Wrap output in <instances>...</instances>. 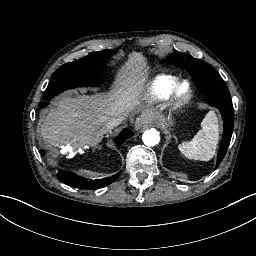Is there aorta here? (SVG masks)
I'll list each match as a JSON object with an SVG mask.
<instances>
[{"mask_svg": "<svg viewBox=\"0 0 256 256\" xmlns=\"http://www.w3.org/2000/svg\"><path fill=\"white\" fill-rule=\"evenodd\" d=\"M142 140L149 147L155 146L160 142V133L155 128H151L143 133Z\"/></svg>", "mask_w": 256, "mask_h": 256, "instance_id": "obj_1", "label": "aorta"}]
</instances>
